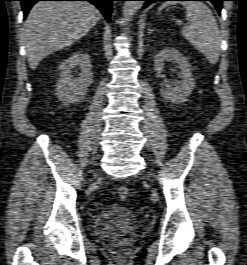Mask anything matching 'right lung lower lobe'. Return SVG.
<instances>
[{"label":"right lung lower lobe","instance_id":"obj_1","mask_svg":"<svg viewBox=\"0 0 247 265\" xmlns=\"http://www.w3.org/2000/svg\"><path fill=\"white\" fill-rule=\"evenodd\" d=\"M20 1L22 3L24 17L27 16L31 7L38 1H89L101 11V13L105 16L106 20L109 22L112 10V1L116 0H20Z\"/></svg>","mask_w":247,"mask_h":265}]
</instances>
